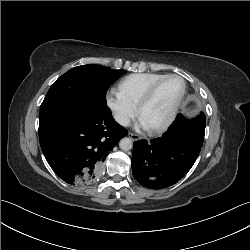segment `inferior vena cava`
Wrapping results in <instances>:
<instances>
[{
    "label": "inferior vena cava",
    "mask_w": 250,
    "mask_h": 250,
    "mask_svg": "<svg viewBox=\"0 0 250 250\" xmlns=\"http://www.w3.org/2000/svg\"><path fill=\"white\" fill-rule=\"evenodd\" d=\"M114 119L122 126H128L130 124V118L121 113H115Z\"/></svg>",
    "instance_id": "inferior-vena-cava-1"
}]
</instances>
